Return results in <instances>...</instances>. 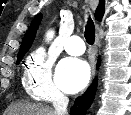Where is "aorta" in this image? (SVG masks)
Returning <instances> with one entry per match:
<instances>
[{
	"label": "aorta",
	"mask_w": 131,
	"mask_h": 115,
	"mask_svg": "<svg viewBox=\"0 0 131 115\" xmlns=\"http://www.w3.org/2000/svg\"><path fill=\"white\" fill-rule=\"evenodd\" d=\"M52 36H53V32H50V33L48 34V38H52Z\"/></svg>",
	"instance_id": "762f6f07"
}]
</instances>
